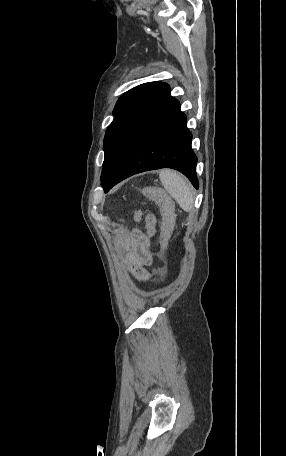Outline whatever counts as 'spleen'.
<instances>
[{
    "instance_id": "spleen-1",
    "label": "spleen",
    "mask_w": 286,
    "mask_h": 456,
    "mask_svg": "<svg viewBox=\"0 0 286 456\" xmlns=\"http://www.w3.org/2000/svg\"><path fill=\"white\" fill-rule=\"evenodd\" d=\"M159 178L166 191L177 201L180 207L191 212L194 198L190 182L180 173L164 169L159 172Z\"/></svg>"
}]
</instances>
